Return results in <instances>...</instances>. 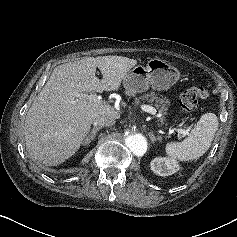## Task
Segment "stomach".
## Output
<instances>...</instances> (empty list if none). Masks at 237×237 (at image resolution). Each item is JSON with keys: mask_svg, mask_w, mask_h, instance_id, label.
<instances>
[{"mask_svg": "<svg viewBox=\"0 0 237 237\" xmlns=\"http://www.w3.org/2000/svg\"><path fill=\"white\" fill-rule=\"evenodd\" d=\"M180 72L159 58L148 60L146 67H133L123 78V86L128 96L146 91L149 86L155 90H165L179 79Z\"/></svg>", "mask_w": 237, "mask_h": 237, "instance_id": "stomach-1", "label": "stomach"}]
</instances>
